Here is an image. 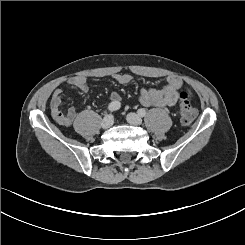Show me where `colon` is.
<instances>
[{
	"instance_id": "obj_1",
	"label": "colon",
	"mask_w": 245,
	"mask_h": 245,
	"mask_svg": "<svg viewBox=\"0 0 245 245\" xmlns=\"http://www.w3.org/2000/svg\"><path fill=\"white\" fill-rule=\"evenodd\" d=\"M196 109L189 101L188 93L182 92L180 94V119L185 125L191 124L196 118Z\"/></svg>"
}]
</instances>
